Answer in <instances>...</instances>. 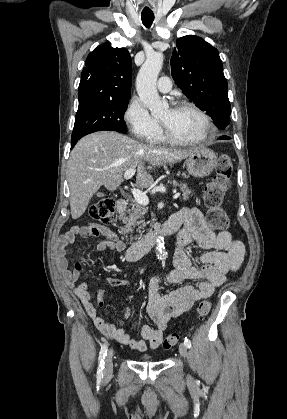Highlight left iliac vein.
<instances>
[{
    "label": "left iliac vein",
    "mask_w": 287,
    "mask_h": 419,
    "mask_svg": "<svg viewBox=\"0 0 287 419\" xmlns=\"http://www.w3.org/2000/svg\"><path fill=\"white\" fill-rule=\"evenodd\" d=\"M179 352L180 354L186 358L188 355V350H187V346L184 343H181L179 346Z\"/></svg>",
    "instance_id": "1"
}]
</instances>
